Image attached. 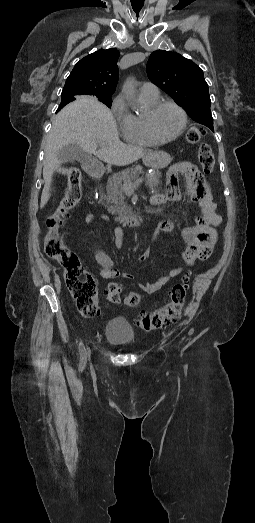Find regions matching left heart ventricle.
I'll list each match as a JSON object with an SVG mask.
<instances>
[{
    "mask_svg": "<svg viewBox=\"0 0 255 523\" xmlns=\"http://www.w3.org/2000/svg\"><path fill=\"white\" fill-rule=\"evenodd\" d=\"M181 126V116L172 106H164L153 117V128L161 138L175 135Z\"/></svg>",
    "mask_w": 255,
    "mask_h": 523,
    "instance_id": "left-heart-ventricle-1",
    "label": "left heart ventricle"
}]
</instances>
